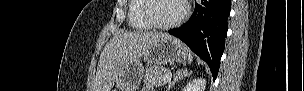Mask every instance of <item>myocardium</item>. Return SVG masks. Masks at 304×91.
I'll use <instances>...</instances> for the list:
<instances>
[{"label":"myocardium","instance_id":"obj_1","mask_svg":"<svg viewBox=\"0 0 304 91\" xmlns=\"http://www.w3.org/2000/svg\"><path fill=\"white\" fill-rule=\"evenodd\" d=\"M155 0H144L143 15L146 21L155 29L167 30L179 26L188 16L189 5L186 0H180L183 6L181 15L169 23H159L152 15V3Z\"/></svg>","mask_w":304,"mask_h":91}]
</instances>
